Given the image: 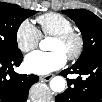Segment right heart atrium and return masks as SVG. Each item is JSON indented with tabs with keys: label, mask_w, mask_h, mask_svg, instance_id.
<instances>
[{
	"label": "right heart atrium",
	"mask_w": 102,
	"mask_h": 102,
	"mask_svg": "<svg viewBox=\"0 0 102 102\" xmlns=\"http://www.w3.org/2000/svg\"><path fill=\"white\" fill-rule=\"evenodd\" d=\"M41 33L30 19H24L15 31V40L18 48L28 52L37 47Z\"/></svg>",
	"instance_id": "right-heart-atrium-1"
}]
</instances>
